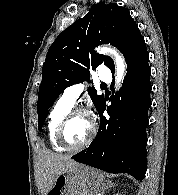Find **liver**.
I'll return each mask as SVG.
<instances>
[{"mask_svg": "<svg viewBox=\"0 0 178 195\" xmlns=\"http://www.w3.org/2000/svg\"><path fill=\"white\" fill-rule=\"evenodd\" d=\"M39 161V180L42 195L48 194L59 175L80 165L69 156L56 154L46 149L40 152Z\"/></svg>", "mask_w": 178, "mask_h": 195, "instance_id": "1", "label": "liver"}]
</instances>
